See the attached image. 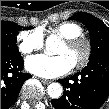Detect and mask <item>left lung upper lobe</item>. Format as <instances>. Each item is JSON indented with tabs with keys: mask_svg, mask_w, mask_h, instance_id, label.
<instances>
[{
	"mask_svg": "<svg viewBox=\"0 0 109 109\" xmlns=\"http://www.w3.org/2000/svg\"><path fill=\"white\" fill-rule=\"evenodd\" d=\"M70 19L85 24L90 33L92 53L89 60L109 55V27L100 19L86 12L75 13ZM65 96L68 102L73 104L80 100L81 90L78 87L71 88L65 92Z\"/></svg>",
	"mask_w": 109,
	"mask_h": 109,
	"instance_id": "obj_1",
	"label": "left lung upper lobe"
}]
</instances>
